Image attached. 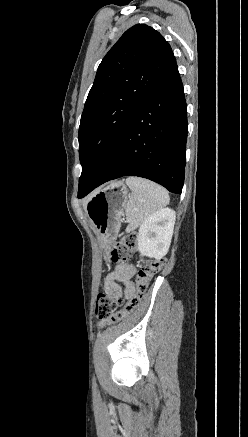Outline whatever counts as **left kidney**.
<instances>
[{
	"instance_id": "1",
	"label": "left kidney",
	"mask_w": 248,
	"mask_h": 437,
	"mask_svg": "<svg viewBox=\"0 0 248 437\" xmlns=\"http://www.w3.org/2000/svg\"><path fill=\"white\" fill-rule=\"evenodd\" d=\"M175 219V211L164 208L151 214L143 222L137 235L138 250L142 256L159 260L167 254Z\"/></svg>"
}]
</instances>
